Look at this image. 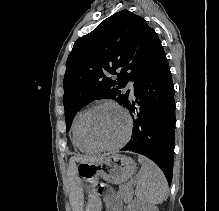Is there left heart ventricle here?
<instances>
[{
  "label": "left heart ventricle",
  "instance_id": "left-heart-ventricle-1",
  "mask_svg": "<svg viewBox=\"0 0 219 211\" xmlns=\"http://www.w3.org/2000/svg\"><path fill=\"white\" fill-rule=\"evenodd\" d=\"M125 116L112 106H101L95 109L88 120L90 137L100 144L118 142L126 131Z\"/></svg>",
  "mask_w": 219,
  "mask_h": 211
}]
</instances>
